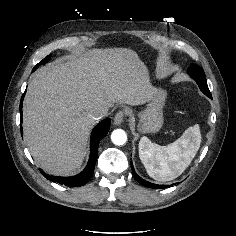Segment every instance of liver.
Returning a JSON list of instances; mask_svg holds the SVG:
<instances>
[{"label":"liver","instance_id":"liver-1","mask_svg":"<svg viewBox=\"0 0 236 236\" xmlns=\"http://www.w3.org/2000/svg\"><path fill=\"white\" fill-rule=\"evenodd\" d=\"M154 88L147 67L128 48L92 49L51 63L30 79L23 106L26 145L54 175H69L84 160L95 120L90 110L148 102Z\"/></svg>","mask_w":236,"mask_h":236}]
</instances>
